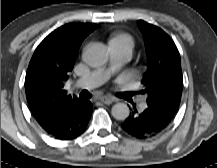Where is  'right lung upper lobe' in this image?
I'll list each match as a JSON object with an SVG mask.
<instances>
[{
    "instance_id": "obj_1",
    "label": "right lung upper lobe",
    "mask_w": 217,
    "mask_h": 168,
    "mask_svg": "<svg viewBox=\"0 0 217 168\" xmlns=\"http://www.w3.org/2000/svg\"><path fill=\"white\" fill-rule=\"evenodd\" d=\"M97 27L93 23H69L50 33L36 48L25 78L26 98L33 116L42 126L65 107L83 100L64 90L85 37Z\"/></svg>"
}]
</instances>
